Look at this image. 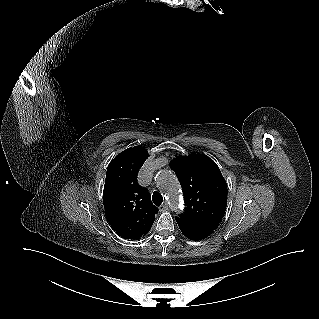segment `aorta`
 <instances>
[{"label": "aorta", "instance_id": "762f6f07", "mask_svg": "<svg viewBox=\"0 0 319 319\" xmlns=\"http://www.w3.org/2000/svg\"><path fill=\"white\" fill-rule=\"evenodd\" d=\"M157 185L164 191L167 195L171 208L173 211H178V185L175 180V176L169 170H160L155 177Z\"/></svg>", "mask_w": 319, "mask_h": 319}]
</instances>
